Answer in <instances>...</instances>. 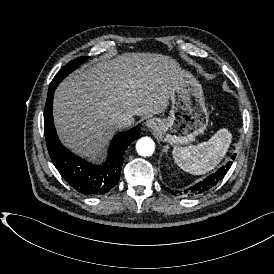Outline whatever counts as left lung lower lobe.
<instances>
[{"instance_id":"1","label":"left lung lower lobe","mask_w":274,"mask_h":274,"mask_svg":"<svg viewBox=\"0 0 274 274\" xmlns=\"http://www.w3.org/2000/svg\"><path fill=\"white\" fill-rule=\"evenodd\" d=\"M236 154H234L231 159H234ZM232 162L229 161L225 166H222L219 170H217L214 174L210 175L203 181L197 183L196 185L190 187V193L192 194H200L208 191L213 186H215L227 173V170L231 167ZM167 191H170L165 187Z\"/></svg>"}]
</instances>
